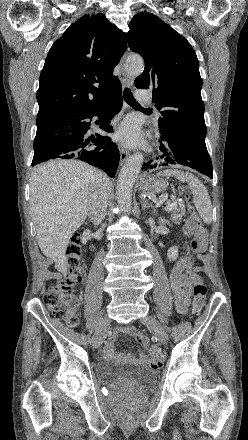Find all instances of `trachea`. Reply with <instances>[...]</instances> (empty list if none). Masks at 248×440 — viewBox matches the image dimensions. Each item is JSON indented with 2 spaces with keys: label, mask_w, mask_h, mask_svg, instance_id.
I'll return each instance as SVG.
<instances>
[{
  "label": "trachea",
  "mask_w": 248,
  "mask_h": 440,
  "mask_svg": "<svg viewBox=\"0 0 248 440\" xmlns=\"http://www.w3.org/2000/svg\"><path fill=\"white\" fill-rule=\"evenodd\" d=\"M124 100L132 107L137 108V109H142L145 111H150V109L148 108H143L141 107V105L135 100L133 94L131 93V90L129 88H125L124 89Z\"/></svg>",
  "instance_id": "obj_1"
}]
</instances>
